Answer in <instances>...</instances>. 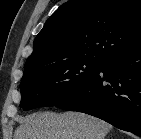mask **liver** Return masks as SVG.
<instances>
[{"instance_id":"liver-1","label":"liver","mask_w":141,"mask_h":139,"mask_svg":"<svg viewBox=\"0 0 141 139\" xmlns=\"http://www.w3.org/2000/svg\"><path fill=\"white\" fill-rule=\"evenodd\" d=\"M13 139H105L112 126L80 112H40L20 120Z\"/></svg>"}]
</instances>
